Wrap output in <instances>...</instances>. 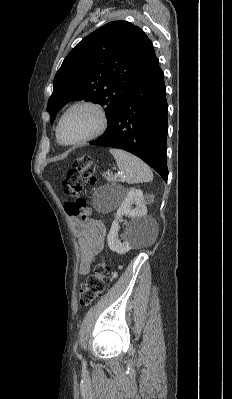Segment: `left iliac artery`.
Here are the masks:
<instances>
[{
  "label": "left iliac artery",
  "instance_id": "1",
  "mask_svg": "<svg viewBox=\"0 0 232 399\" xmlns=\"http://www.w3.org/2000/svg\"><path fill=\"white\" fill-rule=\"evenodd\" d=\"M77 348H78V341H76L74 344V353L76 354L77 357H80V355L78 354Z\"/></svg>",
  "mask_w": 232,
  "mask_h": 399
}]
</instances>
